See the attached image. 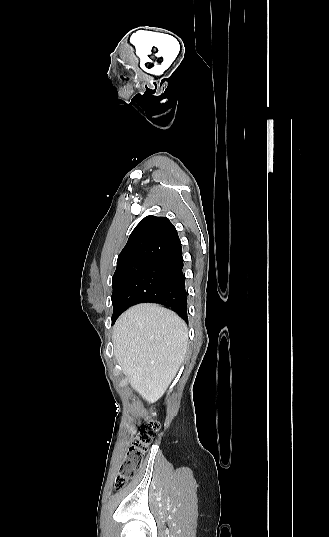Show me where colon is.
Masks as SVG:
<instances>
[{"mask_svg": "<svg viewBox=\"0 0 329 537\" xmlns=\"http://www.w3.org/2000/svg\"><path fill=\"white\" fill-rule=\"evenodd\" d=\"M159 424L153 419L147 420L140 426L139 433L131 442L115 476L113 487L122 490L131 481L141 465L153 436L158 431Z\"/></svg>", "mask_w": 329, "mask_h": 537, "instance_id": "colon-1", "label": "colon"}]
</instances>
